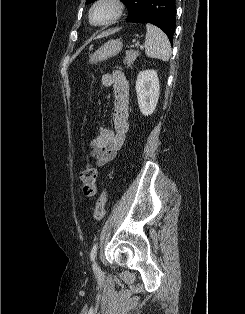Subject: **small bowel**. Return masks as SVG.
I'll return each instance as SVG.
<instances>
[{
	"label": "small bowel",
	"mask_w": 245,
	"mask_h": 314,
	"mask_svg": "<svg viewBox=\"0 0 245 314\" xmlns=\"http://www.w3.org/2000/svg\"><path fill=\"white\" fill-rule=\"evenodd\" d=\"M101 83L104 87H114V129L101 127L89 142V154L98 167H104L114 160L129 131V86L125 74L120 70L104 74Z\"/></svg>",
	"instance_id": "small-bowel-1"
}]
</instances>
